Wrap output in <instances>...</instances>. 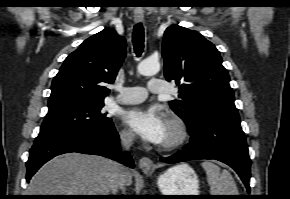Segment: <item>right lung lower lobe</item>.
Returning a JSON list of instances; mask_svg holds the SVG:
<instances>
[{
  "mask_svg": "<svg viewBox=\"0 0 290 199\" xmlns=\"http://www.w3.org/2000/svg\"><path fill=\"white\" fill-rule=\"evenodd\" d=\"M70 152L100 155L134 168L130 154L120 151L118 133L110 123L106 126L40 132L30 149L26 180L29 182L36 171L53 157Z\"/></svg>",
  "mask_w": 290,
  "mask_h": 199,
  "instance_id": "right-lung-lower-lobe-1",
  "label": "right lung lower lobe"
}]
</instances>
